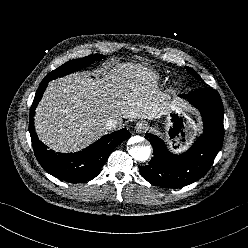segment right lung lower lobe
Masks as SVG:
<instances>
[{"label": "right lung lower lobe", "instance_id": "98d812e1", "mask_svg": "<svg viewBox=\"0 0 248 248\" xmlns=\"http://www.w3.org/2000/svg\"><path fill=\"white\" fill-rule=\"evenodd\" d=\"M51 81L44 78L40 83L30 109L29 132L35 156L42 168L52 176L70 183H81L95 178L110 153L121 142L128 139L131 134L126 129H121L105 135L89 147L75 153H59L48 150L39 141L34 127V113L38 102Z\"/></svg>", "mask_w": 248, "mask_h": 248}]
</instances>
